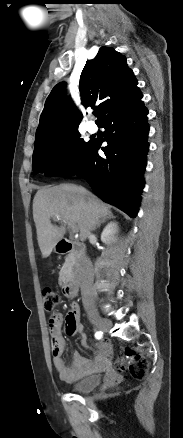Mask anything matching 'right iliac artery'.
<instances>
[{"mask_svg":"<svg viewBox=\"0 0 183 438\" xmlns=\"http://www.w3.org/2000/svg\"><path fill=\"white\" fill-rule=\"evenodd\" d=\"M102 336H103V332H102V331H97V332L95 333V338H96V339H101Z\"/></svg>","mask_w":183,"mask_h":438,"instance_id":"right-iliac-artery-1","label":"right iliac artery"}]
</instances>
